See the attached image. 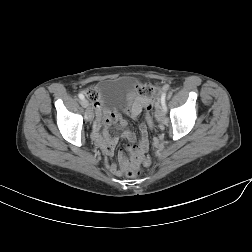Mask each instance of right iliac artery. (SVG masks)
<instances>
[{
	"instance_id": "obj_1",
	"label": "right iliac artery",
	"mask_w": 252,
	"mask_h": 252,
	"mask_svg": "<svg viewBox=\"0 0 252 252\" xmlns=\"http://www.w3.org/2000/svg\"><path fill=\"white\" fill-rule=\"evenodd\" d=\"M78 97L81 99V100H84V95L83 94H78ZM97 123V120H94V122L92 123V126H90V131H91V134H95V131L93 130V128H95V125Z\"/></svg>"
}]
</instances>
